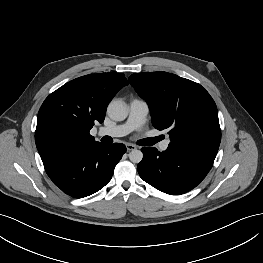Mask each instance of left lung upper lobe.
Returning a JSON list of instances; mask_svg holds the SVG:
<instances>
[{
    "label": "left lung upper lobe",
    "instance_id": "obj_1",
    "mask_svg": "<svg viewBox=\"0 0 263 263\" xmlns=\"http://www.w3.org/2000/svg\"><path fill=\"white\" fill-rule=\"evenodd\" d=\"M128 80L148 103L153 126L169 130L171 145L218 151L217 107L200 84L167 72L136 73Z\"/></svg>",
    "mask_w": 263,
    "mask_h": 263
}]
</instances>
